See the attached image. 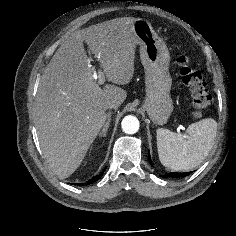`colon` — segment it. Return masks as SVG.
I'll return each instance as SVG.
<instances>
[{
	"instance_id": "5ec220e1",
	"label": "colon",
	"mask_w": 236,
	"mask_h": 236,
	"mask_svg": "<svg viewBox=\"0 0 236 236\" xmlns=\"http://www.w3.org/2000/svg\"><path fill=\"white\" fill-rule=\"evenodd\" d=\"M177 63L180 69L181 80L191 93L196 114L202 115L212 103V96L207 89L203 76L192 65L189 56L181 54L177 59Z\"/></svg>"
}]
</instances>
